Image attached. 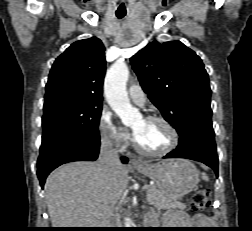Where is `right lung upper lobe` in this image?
I'll list each match as a JSON object with an SVG mask.
<instances>
[{"mask_svg": "<svg viewBox=\"0 0 252 231\" xmlns=\"http://www.w3.org/2000/svg\"><path fill=\"white\" fill-rule=\"evenodd\" d=\"M105 48L92 37L71 44L54 62L46 84L45 99L69 95L102 102L106 70Z\"/></svg>", "mask_w": 252, "mask_h": 231, "instance_id": "1", "label": "right lung upper lobe"}]
</instances>
